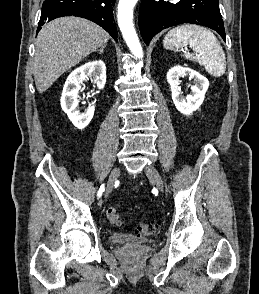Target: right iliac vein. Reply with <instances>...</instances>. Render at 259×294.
I'll return each instance as SVG.
<instances>
[{"mask_svg": "<svg viewBox=\"0 0 259 294\" xmlns=\"http://www.w3.org/2000/svg\"><path fill=\"white\" fill-rule=\"evenodd\" d=\"M119 175H120V168L115 167L111 171V174H110L109 179H108L107 188H106V192H105L106 197H108L111 194L114 183L118 179Z\"/></svg>", "mask_w": 259, "mask_h": 294, "instance_id": "right-iliac-vein-1", "label": "right iliac vein"}]
</instances>
